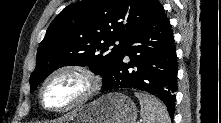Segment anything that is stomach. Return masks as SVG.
<instances>
[{"instance_id": "1", "label": "stomach", "mask_w": 221, "mask_h": 123, "mask_svg": "<svg viewBox=\"0 0 221 123\" xmlns=\"http://www.w3.org/2000/svg\"><path fill=\"white\" fill-rule=\"evenodd\" d=\"M137 113L128 96L113 92L68 113L60 123H135Z\"/></svg>"}]
</instances>
